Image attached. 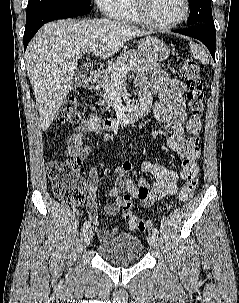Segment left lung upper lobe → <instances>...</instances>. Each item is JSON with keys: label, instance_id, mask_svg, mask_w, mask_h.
Listing matches in <instances>:
<instances>
[{"label": "left lung upper lobe", "instance_id": "1", "mask_svg": "<svg viewBox=\"0 0 239 303\" xmlns=\"http://www.w3.org/2000/svg\"><path fill=\"white\" fill-rule=\"evenodd\" d=\"M190 14L187 21L188 26L200 23H214L210 0H188Z\"/></svg>", "mask_w": 239, "mask_h": 303}]
</instances>
